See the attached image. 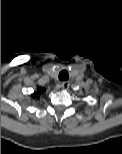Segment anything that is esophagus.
I'll return each mask as SVG.
<instances>
[{
    "instance_id": "1",
    "label": "esophagus",
    "mask_w": 122,
    "mask_h": 154,
    "mask_svg": "<svg viewBox=\"0 0 122 154\" xmlns=\"http://www.w3.org/2000/svg\"><path fill=\"white\" fill-rule=\"evenodd\" d=\"M69 82H62L61 83V88L63 89V90H67L68 88H69Z\"/></svg>"
}]
</instances>
